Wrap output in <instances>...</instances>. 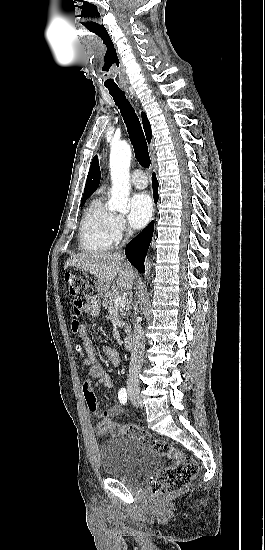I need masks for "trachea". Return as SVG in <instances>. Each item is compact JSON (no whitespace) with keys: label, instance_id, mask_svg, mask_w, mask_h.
<instances>
[{"label":"trachea","instance_id":"obj_1","mask_svg":"<svg viewBox=\"0 0 265 550\" xmlns=\"http://www.w3.org/2000/svg\"><path fill=\"white\" fill-rule=\"evenodd\" d=\"M109 93L113 97L115 104L120 109L124 123L127 127L130 141L134 148L137 161L144 168H149L151 160L148 152V146L141 127V123L135 113L134 108L132 107L128 99H126L124 92L110 91Z\"/></svg>","mask_w":265,"mask_h":550}]
</instances>
